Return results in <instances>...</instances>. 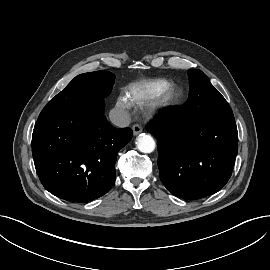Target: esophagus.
Instances as JSON below:
<instances>
[{"label":"esophagus","mask_w":270,"mask_h":270,"mask_svg":"<svg viewBox=\"0 0 270 270\" xmlns=\"http://www.w3.org/2000/svg\"><path fill=\"white\" fill-rule=\"evenodd\" d=\"M133 135H138L142 132V127L139 124H134L132 126Z\"/></svg>","instance_id":"34e87169"}]
</instances>
